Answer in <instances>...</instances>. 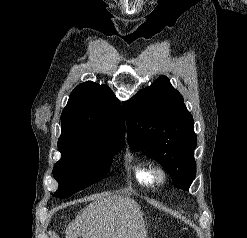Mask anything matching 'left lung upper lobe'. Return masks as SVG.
Segmentation results:
<instances>
[{
    "mask_svg": "<svg viewBox=\"0 0 247 238\" xmlns=\"http://www.w3.org/2000/svg\"><path fill=\"white\" fill-rule=\"evenodd\" d=\"M122 106L131 149L144 150L170 172L178 188L187 191L196 175L197 137L181 94L160 76Z\"/></svg>",
    "mask_w": 247,
    "mask_h": 238,
    "instance_id": "left-lung-upper-lobe-1",
    "label": "left lung upper lobe"
}]
</instances>
